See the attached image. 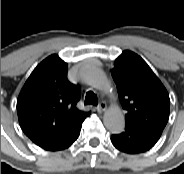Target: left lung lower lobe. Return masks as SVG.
<instances>
[{"label":"left lung lower lobe","instance_id":"0a47b994","mask_svg":"<svg viewBox=\"0 0 184 174\" xmlns=\"http://www.w3.org/2000/svg\"><path fill=\"white\" fill-rule=\"evenodd\" d=\"M159 138L160 136L125 126L124 132L111 136V142L118 150L135 154L149 150Z\"/></svg>","mask_w":184,"mask_h":174}]
</instances>
